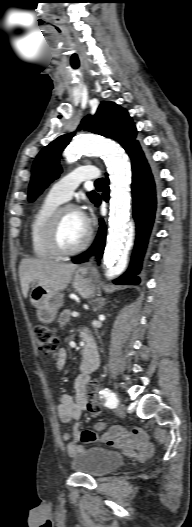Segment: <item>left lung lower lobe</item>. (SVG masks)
I'll return each instance as SVG.
<instances>
[{
  "instance_id": "1",
  "label": "left lung lower lobe",
  "mask_w": 192,
  "mask_h": 527,
  "mask_svg": "<svg viewBox=\"0 0 192 527\" xmlns=\"http://www.w3.org/2000/svg\"><path fill=\"white\" fill-rule=\"evenodd\" d=\"M128 155L132 161V194H133V216L137 226V238L132 261L128 271L114 280L118 285H137L140 280L136 274L141 268L142 257L145 252L148 237L152 228L156 209L155 184L150 167L144 157L139 144L134 145ZM106 185L109 184L106 178ZM104 200L109 199V187H106L103 194ZM100 204L98 196L96 205ZM99 233L94 244L84 253L72 259L76 264L87 261L88 256L103 254L106 238V225L100 219Z\"/></svg>"
}]
</instances>
